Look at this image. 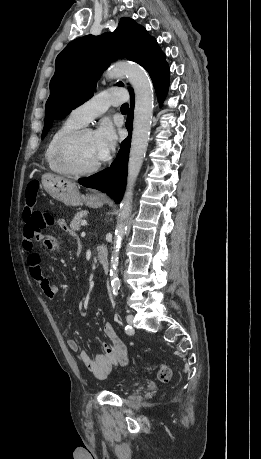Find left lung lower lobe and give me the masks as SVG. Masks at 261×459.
Segmentation results:
<instances>
[{"label": "left lung lower lobe", "mask_w": 261, "mask_h": 459, "mask_svg": "<svg viewBox=\"0 0 261 459\" xmlns=\"http://www.w3.org/2000/svg\"><path fill=\"white\" fill-rule=\"evenodd\" d=\"M169 67L166 65L160 69L152 78L155 90L158 94L160 105L167 93L169 86ZM131 94V108L127 117L126 127L131 134L133 123V110H134V93ZM131 136L129 135L121 144L120 150L111 166L88 179H80L79 183L88 188H94L106 193L114 199L116 203H120L124 194L126 177H127V163L129 158Z\"/></svg>", "instance_id": "0a47b994"}]
</instances>
